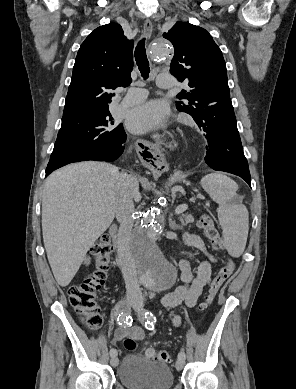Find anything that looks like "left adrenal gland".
I'll list each match as a JSON object with an SVG mask.
<instances>
[{
    "label": "left adrenal gland",
    "instance_id": "1",
    "mask_svg": "<svg viewBox=\"0 0 296 389\" xmlns=\"http://www.w3.org/2000/svg\"><path fill=\"white\" fill-rule=\"evenodd\" d=\"M169 227L172 230H182V227L178 225L174 220H173V213L170 214L169 216Z\"/></svg>",
    "mask_w": 296,
    "mask_h": 389
}]
</instances>
